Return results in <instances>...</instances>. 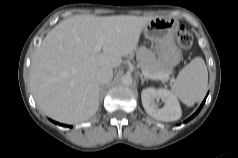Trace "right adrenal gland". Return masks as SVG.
I'll return each mask as SVG.
<instances>
[{"instance_id":"obj_1","label":"right adrenal gland","mask_w":238,"mask_h":158,"mask_svg":"<svg viewBox=\"0 0 238 158\" xmlns=\"http://www.w3.org/2000/svg\"><path fill=\"white\" fill-rule=\"evenodd\" d=\"M103 89H104V86H101V87H100V95H101V98H102V94H103Z\"/></svg>"}]
</instances>
